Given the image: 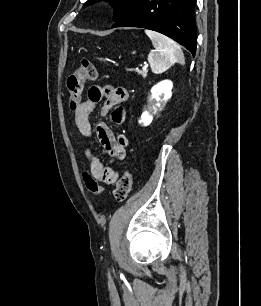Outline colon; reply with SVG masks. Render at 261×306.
<instances>
[{
    "mask_svg": "<svg viewBox=\"0 0 261 306\" xmlns=\"http://www.w3.org/2000/svg\"><path fill=\"white\" fill-rule=\"evenodd\" d=\"M97 79V70L88 59H82L78 68L70 73L66 80L69 93V104L75 109L81 102L84 86L87 82ZM132 188V176L129 170H125L118 179L113 194L117 201H124Z\"/></svg>",
    "mask_w": 261,
    "mask_h": 306,
    "instance_id": "1",
    "label": "colon"
}]
</instances>
